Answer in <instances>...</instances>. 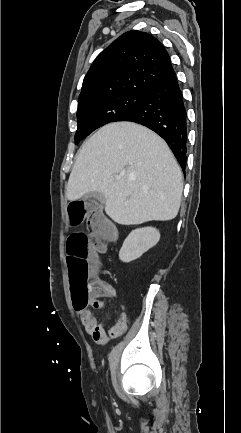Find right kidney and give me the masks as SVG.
<instances>
[{"instance_id":"right-kidney-1","label":"right kidney","mask_w":241,"mask_h":433,"mask_svg":"<svg viewBox=\"0 0 241 433\" xmlns=\"http://www.w3.org/2000/svg\"><path fill=\"white\" fill-rule=\"evenodd\" d=\"M159 240L160 233L156 228L135 229L125 239L119 252V259L125 263L134 261L155 246Z\"/></svg>"}]
</instances>
